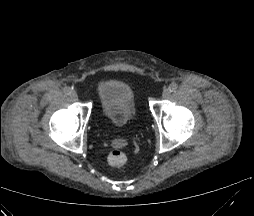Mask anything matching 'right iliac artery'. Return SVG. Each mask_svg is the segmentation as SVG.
<instances>
[{"label": "right iliac artery", "instance_id": "82829eb1", "mask_svg": "<svg viewBox=\"0 0 254 216\" xmlns=\"http://www.w3.org/2000/svg\"><path fill=\"white\" fill-rule=\"evenodd\" d=\"M64 92L69 95L72 93V89L70 87H65Z\"/></svg>", "mask_w": 254, "mask_h": 216}]
</instances>
